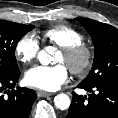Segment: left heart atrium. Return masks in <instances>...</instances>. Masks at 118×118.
Segmentation results:
<instances>
[{
    "label": "left heart atrium",
    "instance_id": "1",
    "mask_svg": "<svg viewBox=\"0 0 118 118\" xmlns=\"http://www.w3.org/2000/svg\"><path fill=\"white\" fill-rule=\"evenodd\" d=\"M68 79V70L64 64L54 66H36L29 69L25 74L27 84L32 87L55 91Z\"/></svg>",
    "mask_w": 118,
    "mask_h": 118
}]
</instances>
